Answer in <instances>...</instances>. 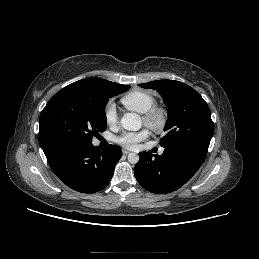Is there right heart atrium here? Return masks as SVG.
<instances>
[{
  "mask_svg": "<svg viewBox=\"0 0 259 259\" xmlns=\"http://www.w3.org/2000/svg\"><path fill=\"white\" fill-rule=\"evenodd\" d=\"M104 117L108 125L113 126L117 123L118 113L113 101H108L104 108Z\"/></svg>",
  "mask_w": 259,
  "mask_h": 259,
  "instance_id": "1",
  "label": "right heart atrium"
}]
</instances>
